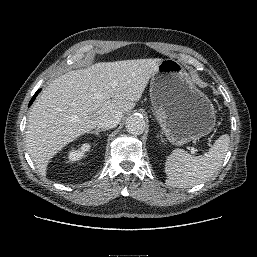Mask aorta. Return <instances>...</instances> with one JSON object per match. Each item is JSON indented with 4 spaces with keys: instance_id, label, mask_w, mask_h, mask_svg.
Here are the masks:
<instances>
[{
    "instance_id": "obj_1",
    "label": "aorta",
    "mask_w": 257,
    "mask_h": 257,
    "mask_svg": "<svg viewBox=\"0 0 257 257\" xmlns=\"http://www.w3.org/2000/svg\"><path fill=\"white\" fill-rule=\"evenodd\" d=\"M145 125L143 117L137 114L131 115L126 120V129L130 134H142L145 130Z\"/></svg>"
}]
</instances>
